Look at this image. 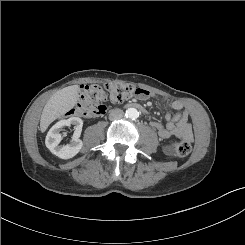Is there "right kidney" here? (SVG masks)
Wrapping results in <instances>:
<instances>
[{
	"mask_svg": "<svg viewBox=\"0 0 245 245\" xmlns=\"http://www.w3.org/2000/svg\"><path fill=\"white\" fill-rule=\"evenodd\" d=\"M74 125V134L69 144L59 145L62 136L60 131L65 126ZM83 121L79 117H71L58 121L47 133L46 147L61 159H70L74 157L82 148L83 142L79 139L82 131Z\"/></svg>",
	"mask_w": 245,
	"mask_h": 245,
	"instance_id": "1",
	"label": "right kidney"
}]
</instances>
